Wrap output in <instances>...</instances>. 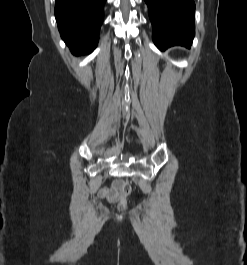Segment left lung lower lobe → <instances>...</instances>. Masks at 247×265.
<instances>
[{
  "mask_svg": "<svg viewBox=\"0 0 247 265\" xmlns=\"http://www.w3.org/2000/svg\"><path fill=\"white\" fill-rule=\"evenodd\" d=\"M155 45L165 50L174 45L190 47L195 34L194 0H145Z\"/></svg>",
  "mask_w": 247,
  "mask_h": 265,
  "instance_id": "left-lung-lower-lobe-1",
  "label": "left lung lower lobe"
}]
</instances>
